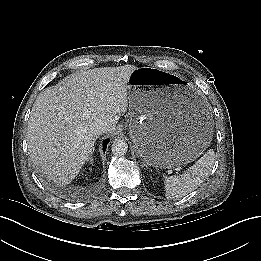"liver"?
I'll return each instance as SVG.
<instances>
[{"label":"liver","mask_w":261,"mask_h":261,"mask_svg":"<svg viewBox=\"0 0 261 261\" xmlns=\"http://www.w3.org/2000/svg\"><path fill=\"white\" fill-rule=\"evenodd\" d=\"M134 65L80 71L47 87L33 104L27 143L35 167L56 184H69L94 151L91 126L106 122L108 130L128 108V80Z\"/></svg>","instance_id":"1"}]
</instances>
